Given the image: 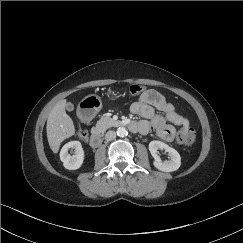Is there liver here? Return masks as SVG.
Masks as SVG:
<instances>
[{
    "label": "liver",
    "mask_w": 243,
    "mask_h": 243,
    "mask_svg": "<svg viewBox=\"0 0 243 243\" xmlns=\"http://www.w3.org/2000/svg\"><path fill=\"white\" fill-rule=\"evenodd\" d=\"M66 100L59 101L47 119V139L53 153H58L61 143L75 134L72 118L66 113Z\"/></svg>",
    "instance_id": "6515ba94"
}]
</instances>
